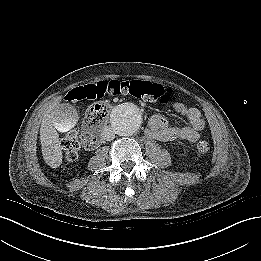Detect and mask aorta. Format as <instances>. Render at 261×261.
Instances as JSON below:
<instances>
[{"instance_id":"762f6f07","label":"aorta","mask_w":261,"mask_h":261,"mask_svg":"<svg viewBox=\"0 0 261 261\" xmlns=\"http://www.w3.org/2000/svg\"><path fill=\"white\" fill-rule=\"evenodd\" d=\"M142 112L138 105L125 102L113 108L110 123L113 131L119 136H129L138 131L142 123Z\"/></svg>"}]
</instances>
